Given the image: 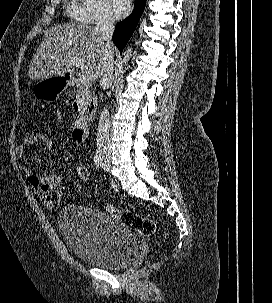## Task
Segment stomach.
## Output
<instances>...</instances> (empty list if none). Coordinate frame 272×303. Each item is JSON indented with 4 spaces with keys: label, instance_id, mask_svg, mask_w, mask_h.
Wrapping results in <instances>:
<instances>
[{
    "label": "stomach",
    "instance_id": "1",
    "mask_svg": "<svg viewBox=\"0 0 272 303\" xmlns=\"http://www.w3.org/2000/svg\"><path fill=\"white\" fill-rule=\"evenodd\" d=\"M68 87V82L64 78L50 77L37 82L32 92L36 98L44 101L55 100Z\"/></svg>",
    "mask_w": 272,
    "mask_h": 303
}]
</instances>
